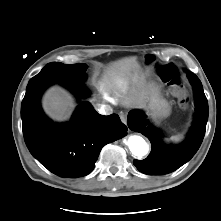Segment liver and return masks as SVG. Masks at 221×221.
<instances>
[{"instance_id":"1","label":"liver","mask_w":221,"mask_h":221,"mask_svg":"<svg viewBox=\"0 0 221 221\" xmlns=\"http://www.w3.org/2000/svg\"><path fill=\"white\" fill-rule=\"evenodd\" d=\"M138 68L135 58H126L118 61L111 68L110 72L119 71L120 73L130 74ZM153 86H146L139 84L138 88L127 98L126 102L132 107L142 108L151 91ZM43 108L48 115L57 120H62L68 117L72 108V102L70 97L62 90L52 88L50 89L43 100Z\"/></svg>"}]
</instances>
